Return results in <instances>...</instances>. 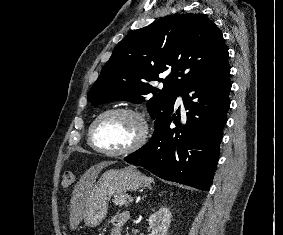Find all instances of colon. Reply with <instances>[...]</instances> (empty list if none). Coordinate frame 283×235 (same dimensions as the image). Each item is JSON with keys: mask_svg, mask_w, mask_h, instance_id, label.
Here are the masks:
<instances>
[{"mask_svg": "<svg viewBox=\"0 0 283 235\" xmlns=\"http://www.w3.org/2000/svg\"><path fill=\"white\" fill-rule=\"evenodd\" d=\"M74 181V173L72 171H65L62 176L63 187L70 186Z\"/></svg>", "mask_w": 283, "mask_h": 235, "instance_id": "1", "label": "colon"}]
</instances>
